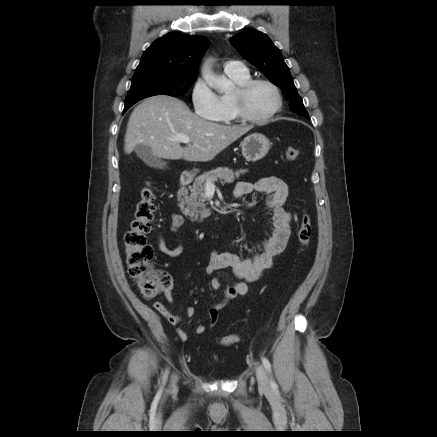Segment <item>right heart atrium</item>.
I'll list each match as a JSON object with an SVG mask.
<instances>
[{"mask_svg": "<svg viewBox=\"0 0 437 437\" xmlns=\"http://www.w3.org/2000/svg\"><path fill=\"white\" fill-rule=\"evenodd\" d=\"M191 102L194 112L204 119L216 120L221 114L219 96L202 79H198L193 85Z\"/></svg>", "mask_w": 437, "mask_h": 437, "instance_id": "1", "label": "right heart atrium"}]
</instances>
